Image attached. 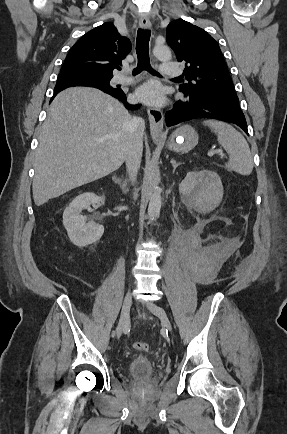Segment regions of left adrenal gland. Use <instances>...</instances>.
<instances>
[{"label":"left adrenal gland","mask_w":287,"mask_h":434,"mask_svg":"<svg viewBox=\"0 0 287 434\" xmlns=\"http://www.w3.org/2000/svg\"><path fill=\"white\" fill-rule=\"evenodd\" d=\"M170 163H171L172 166H173V172H174L175 169H176V168L181 164V163H178L175 159H171Z\"/></svg>","instance_id":"a2214340"}]
</instances>
